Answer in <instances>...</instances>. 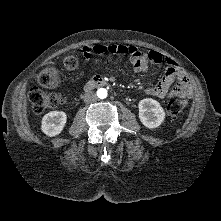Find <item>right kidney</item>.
Listing matches in <instances>:
<instances>
[{
    "label": "right kidney",
    "mask_w": 221,
    "mask_h": 221,
    "mask_svg": "<svg viewBox=\"0 0 221 221\" xmlns=\"http://www.w3.org/2000/svg\"><path fill=\"white\" fill-rule=\"evenodd\" d=\"M67 121L65 112L52 111L47 113L42 119L41 130L47 136L59 135Z\"/></svg>",
    "instance_id": "obj_1"
}]
</instances>
